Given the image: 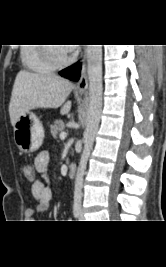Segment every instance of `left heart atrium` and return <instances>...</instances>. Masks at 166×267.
Masks as SVG:
<instances>
[{
  "label": "left heart atrium",
  "instance_id": "1",
  "mask_svg": "<svg viewBox=\"0 0 166 267\" xmlns=\"http://www.w3.org/2000/svg\"><path fill=\"white\" fill-rule=\"evenodd\" d=\"M69 50H72L73 48L72 47H68Z\"/></svg>",
  "mask_w": 166,
  "mask_h": 267
}]
</instances>
